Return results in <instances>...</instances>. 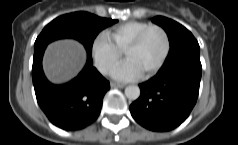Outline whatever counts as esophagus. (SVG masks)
<instances>
[{"mask_svg": "<svg viewBox=\"0 0 238 145\" xmlns=\"http://www.w3.org/2000/svg\"><path fill=\"white\" fill-rule=\"evenodd\" d=\"M110 85L112 88H124L125 87L124 84L115 83V82H112Z\"/></svg>", "mask_w": 238, "mask_h": 145, "instance_id": "esophagus-1", "label": "esophagus"}]
</instances>
